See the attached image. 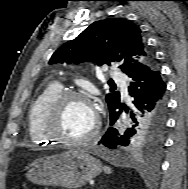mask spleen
Masks as SVG:
<instances>
[{"instance_id":"spleen-1","label":"spleen","mask_w":188,"mask_h":189,"mask_svg":"<svg viewBox=\"0 0 188 189\" xmlns=\"http://www.w3.org/2000/svg\"><path fill=\"white\" fill-rule=\"evenodd\" d=\"M104 171L107 173V174H110L112 171H111V168L106 166L104 167Z\"/></svg>"}]
</instances>
